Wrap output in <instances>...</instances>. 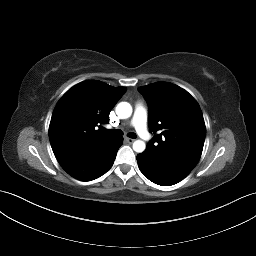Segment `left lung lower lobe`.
<instances>
[{
	"label": "left lung lower lobe",
	"instance_id": "1",
	"mask_svg": "<svg viewBox=\"0 0 256 256\" xmlns=\"http://www.w3.org/2000/svg\"><path fill=\"white\" fill-rule=\"evenodd\" d=\"M137 161L141 172L150 181L161 186L176 184L187 176L153 160L146 151L138 154Z\"/></svg>",
	"mask_w": 256,
	"mask_h": 256
}]
</instances>
